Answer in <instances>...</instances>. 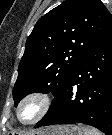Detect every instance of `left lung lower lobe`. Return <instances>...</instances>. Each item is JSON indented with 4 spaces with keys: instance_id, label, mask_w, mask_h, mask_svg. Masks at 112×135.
Instances as JSON below:
<instances>
[{
    "instance_id": "1",
    "label": "left lung lower lobe",
    "mask_w": 112,
    "mask_h": 135,
    "mask_svg": "<svg viewBox=\"0 0 112 135\" xmlns=\"http://www.w3.org/2000/svg\"><path fill=\"white\" fill-rule=\"evenodd\" d=\"M76 123L112 135V25L83 57L35 128Z\"/></svg>"
}]
</instances>
